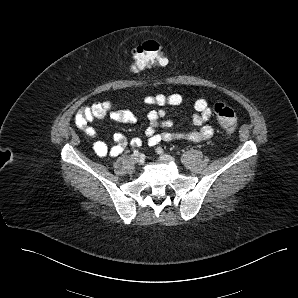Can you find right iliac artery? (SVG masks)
<instances>
[{"label":"right iliac artery","mask_w":298,"mask_h":298,"mask_svg":"<svg viewBox=\"0 0 298 298\" xmlns=\"http://www.w3.org/2000/svg\"><path fill=\"white\" fill-rule=\"evenodd\" d=\"M134 154L135 155H138L139 154V151L138 150H134Z\"/></svg>","instance_id":"right-iliac-artery-1"}]
</instances>
